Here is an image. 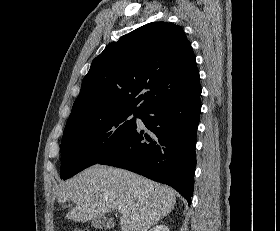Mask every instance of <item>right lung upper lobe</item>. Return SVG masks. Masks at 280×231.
I'll return each instance as SVG.
<instances>
[{
    "label": "right lung upper lobe",
    "mask_w": 280,
    "mask_h": 231,
    "mask_svg": "<svg viewBox=\"0 0 280 231\" xmlns=\"http://www.w3.org/2000/svg\"><path fill=\"white\" fill-rule=\"evenodd\" d=\"M199 80L182 27L149 23L108 44L93 60L69 119L143 114L162 101L201 89Z\"/></svg>",
    "instance_id": "right-lung-upper-lobe-1"
}]
</instances>
